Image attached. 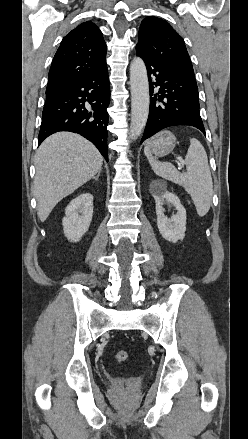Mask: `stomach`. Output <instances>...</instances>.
<instances>
[{
  "mask_svg": "<svg viewBox=\"0 0 248 439\" xmlns=\"http://www.w3.org/2000/svg\"><path fill=\"white\" fill-rule=\"evenodd\" d=\"M176 138L170 131H162L147 142L151 154L157 157L168 155L175 147Z\"/></svg>",
  "mask_w": 248,
  "mask_h": 439,
  "instance_id": "0dacf381",
  "label": "stomach"
}]
</instances>
